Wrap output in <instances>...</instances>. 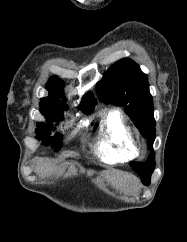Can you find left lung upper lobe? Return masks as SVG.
<instances>
[{
    "instance_id": "obj_1",
    "label": "left lung upper lobe",
    "mask_w": 187,
    "mask_h": 242,
    "mask_svg": "<svg viewBox=\"0 0 187 242\" xmlns=\"http://www.w3.org/2000/svg\"><path fill=\"white\" fill-rule=\"evenodd\" d=\"M96 88L101 101L124 107L140 133L147 138L151 155L145 162H132L130 165L140 175L141 180L151 178L155 167L152 148L155 140V120L147 75L131 59H122L107 70Z\"/></svg>"
}]
</instances>
